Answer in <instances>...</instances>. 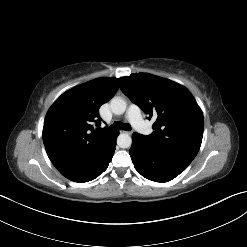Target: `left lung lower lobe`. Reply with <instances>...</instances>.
<instances>
[{"mask_svg": "<svg viewBox=\"0 0 247 247\" xmlns=\"http://www.w3.org/2000/svg\"><path fill=\"white\" fill-rule=\"evenodd\" d=\"M129 153L135 169L146 179L155 182H168L189 165L163 154L138 134L132 136Z\"/></svg>", "mask_w": 247, "mask_h": 247, "instance_id": "0a47b994", "label": "left lung lower lobe"}]
</instances>
